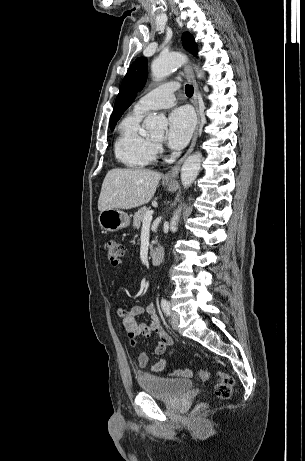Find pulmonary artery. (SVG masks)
<instances>
[{
  "label": "pulmonary artery",
  "mask_w": 305,
  "mask_h": 461,
  "mask_svg": "<svg viewBox=\"0 0 305 461\" xmlns=\"http://www.w3.org/2000/svg\"><path fill=\"white\" fill-rule=\"evenodd\" d=\"M179 88L178 83L170 81L164 83L139 98L134 105V110L146 113L150 110L168 108L174 105V92Z\"/></svg>",
  "instance_id": "obj_1"
}]
</instances>
